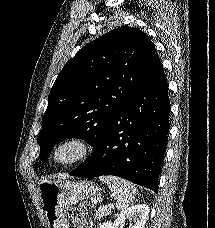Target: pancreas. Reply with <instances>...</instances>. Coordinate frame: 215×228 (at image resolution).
<instances>
[{"instance_id": "obj_1", "label": "pancreas", "mask_w": 215, "mask_h": 228, "mask_svg": "<svg viewBox=\"0 0 215 228\" xmlns=\"http://www.w3.org/2000/svg\"><path fill=\"white\" fill-rule=\"evenodd\" d=\"M112 214V210L110 208H98L96 210V216L94 220H102V218H105V216H110Z\"/></svg>"}]
</instances>
